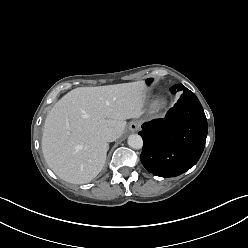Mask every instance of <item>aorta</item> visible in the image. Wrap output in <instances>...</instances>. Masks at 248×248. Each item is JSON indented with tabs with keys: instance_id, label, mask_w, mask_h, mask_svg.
<instances>
[{
	"instance_id": "aorta-1",
	"label": "aorta",
	"mask_w": 248,
	"mask_h": 248,
	"mask_svg": "<svg viewBox=\"0 0 248 248\" xmlns=\"http://www.w3.org/2000/svg\"><path fill=\"white\" fill-rule=\"evenodd\" d=\"M128 145L133 149H141L143 146L142 137L138 134H132L128 137Z\"/></svg>"
}]
</instances>
